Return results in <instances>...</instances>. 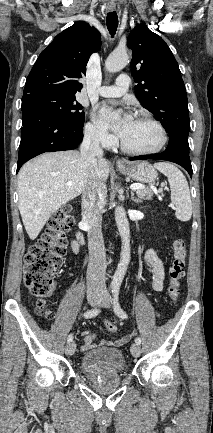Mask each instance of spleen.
I'll return each mask as SVG.
<instances>
[{
	"label": "spleen",
	"mask_w": 213,
	"mask_h": 433,
	"mask_svg": "<svg viewBox=\"0 0 213 433\" xmlns=\"http://www.w3.org/2000/svg\"><path fill=\"white\" fill-rule=\"evenodd\" d=\"M154 167L167 178L171 189V201L175 205V215L180 221H188L192 216V201L189 186L183 173L166 162L155 163Z\"/></svg>",
	"instance_id": "3e777b00"
}]
</instances>
